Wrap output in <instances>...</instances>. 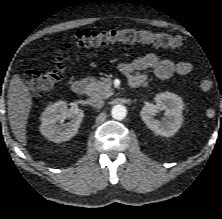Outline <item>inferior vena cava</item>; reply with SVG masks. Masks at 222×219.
Returning a JSON list of instances; mask_svg holds the SVG:
<instances>
[{
  "instance_id": "inferior-vena-cava-1",
  "label": "inferior vena cava",
  "mask_w": 222,
  "mask_h": 219,
  "mask_svg": "<svg viewBox=\"0 0 222 219\" xmlns=\"http://www.w3.org/2000/svg\"><path fill=\"white\" fill-rule=\"evenodd\" d=\"M88 104L94 108L100 109L103 107L104 101L99 98L91 97L88 99Z\"/></svg>"
}]
</instances>
